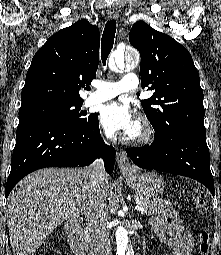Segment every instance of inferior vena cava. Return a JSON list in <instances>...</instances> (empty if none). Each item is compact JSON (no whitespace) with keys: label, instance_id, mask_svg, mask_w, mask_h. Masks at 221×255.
I'll use <instances>...</instances> for the list:
<instances>
[{"label":"inferior vena cava","instance_id":"602c4592","mask_svg":"<svg viewBox=\"0 0 221 255\" xmlns=\"http://www.w3.org/2000/svg\"><path fill=\"white\" fill-rule=\"evenodd\" d=\"M89 171L90 179L94 184L102 183L105 179V171L101 159L95 160L89 166ZM105 207V201L95 196L90 200L85 213L86 226L91 234L98 255H112Z\"/></svg>","mask_w":221,"mask_h":255}]
</instances>
